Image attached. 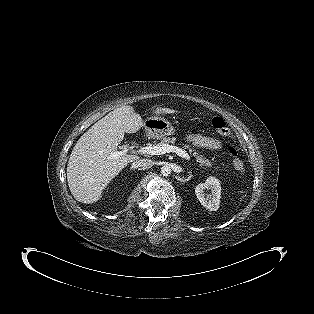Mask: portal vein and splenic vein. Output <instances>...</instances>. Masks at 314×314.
Instances as JSON below:
<instances>
[{
  "instance_id": "obj_1",
  "label": "portal vein and splenic vein",
  "mask_w": 314,
  "mask_h": 314,
  "mask_svg": "<svg viewBox=\"0 0 314 314\" xmlns=\"http://www.w3.org/2000/svg\"><path fill=\"white\" fill-rule=\"evenodd\" d=\"M128 152V146L123 145L121 151H116L111 154V158H118L119 156L126 155ZM138 153L140 154H148V155H162L165 153H176L178 156L185 158L186 160H190L189 154L176 146L168 145V144H158L155 146H146V147H141L140 149L137 150Z\"/></svg>"
}]
</instances>
